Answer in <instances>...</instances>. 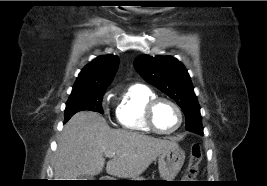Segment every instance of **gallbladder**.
Returning a JSON list of instances; mask_svg holds the SVG:
<instances>
[{
	"instance_id": "1",
	"label": "gallbladder",
	"mask_w": 267,
	"mask_h": 186,
	"mask_svg": "<svg viewBox=\"0 0 267 186\" xmlns=\"http://www.w3.org/2000/svg\"><path fill=\"white\" fill-rule=\"evenodd\" d=\"M92 176H89V175H84V176H81L80 180H88L90 179Z\"/></svg>"
}]
</instances>
